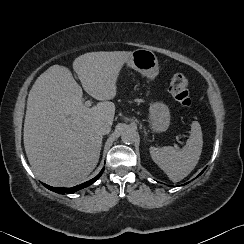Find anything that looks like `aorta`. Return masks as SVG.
Wrapping results in <instances>:
<instances>
[{
  "instance_id": "762f6f07",
  "label": "aorta",
  "mask_w": 244,
  "mask_h": 244,
  "mask_svg": "<svg viewBox=\"0 0 244 244\" xmlns=\"http://www.w3.org/2000/svg\"><path fill=\"white\" fill-rule=\"evenodd\" d=\"M136 131L130 127L123 129L121 132V140L125 144H132L136 140Z\"/></svg>"
}]
</instances>
